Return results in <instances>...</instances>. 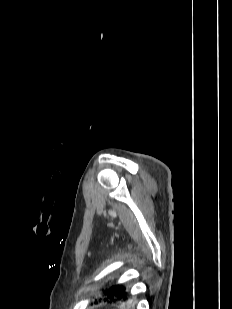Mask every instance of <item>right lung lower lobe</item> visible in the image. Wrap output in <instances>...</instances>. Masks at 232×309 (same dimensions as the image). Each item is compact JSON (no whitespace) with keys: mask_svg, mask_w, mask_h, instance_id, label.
Returning a JSON list of instances; mask_svg holds the SVG:
<instances>
[{"mask_svg":"<svg viewBox=\"0 0 232 309\" xmlns=\"http://www.w3.org/2000/svg\"><path fill=\"white\" fill-rule=\"evenodd\" d=\"M103 293L111 301H126L129 299V293L125 291V288L120 285L112 286L109 289L103 290Z\"/></svg>","mask_w":232,"mask_h":309,"instance_id":"98d812e1","label":"right lung lower lobe"}]
</instances>
